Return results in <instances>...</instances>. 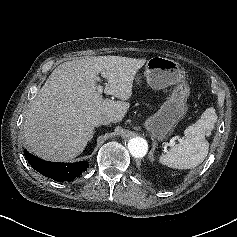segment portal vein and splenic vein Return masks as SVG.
<instances>
[{
	"label": "portal vein and splenic vein",
	"mask_w": 237,
	"mask_h": 237,
	"mask_svg": "<svg viewBox=\"0 0 237 237\" xmlns=\"http://www.w3.org/2000/svg\"><path fill=\"white\" fill-rule=\"evenodd\" d=\"M97 91H98V93L102 94V92H103L102 86L99 85L98 88H97Z\"/></svg>",
	"instance_id": "1"
}]
</instances>
